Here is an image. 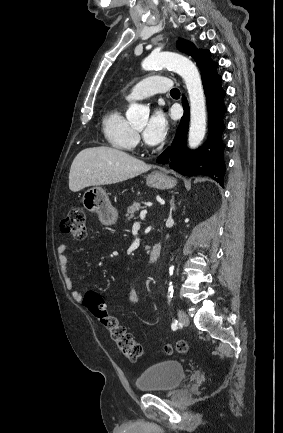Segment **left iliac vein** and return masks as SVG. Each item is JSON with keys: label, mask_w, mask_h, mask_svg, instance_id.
I'll return each instance as SVG.
<instances>
[{"label": "left iliac vein", "mask_w": 283, "mask_h": 433, "mask_svg": "<svg viewBox=\"0 0 283 433\" xmlns=\"http://www.w3.org/2000/svg\"><path fill=\"white\" fill-rule=\"evenodd\" d=\"M178 317H179V321L182 325H184V326L189 325V318L183 310H179Z\"/></svg>", "instance_id": "obj_1"}]
</instances>
